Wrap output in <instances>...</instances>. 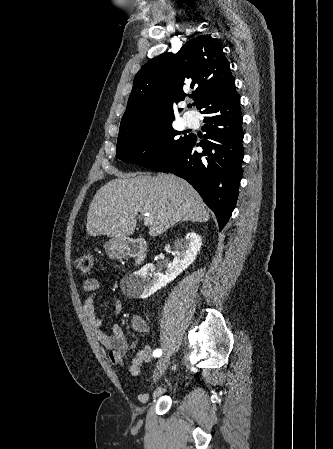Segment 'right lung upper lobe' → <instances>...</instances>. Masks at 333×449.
Segmentation results:
<instances>
[{"mask_svg": "<svg viewBox=\"0 0 333 449\" xmlns=\"http://www.w3.org/2000/svg\"><path fill=\"white\" fill-rule=\"evenodd\" d=\"M193 89L192 95L184 92ZM236 92L222 46L210 35L189 40L177 54L163 53L137 73L118 140L173 120L172 103L194 97L197 109ZM181 111V109H179Z\"/></svg>", "mask_w": 333, "mask_h": 449, "instance_id": "1", "label": "right lung upper lobe"}]
</instances>
